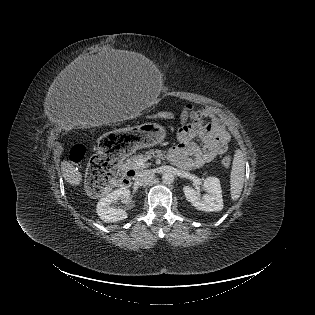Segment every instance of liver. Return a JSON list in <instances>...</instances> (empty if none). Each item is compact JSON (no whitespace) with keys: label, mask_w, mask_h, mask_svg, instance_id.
<instances>
[{"label":"liver","mask_w":315,"mask_h":315,"mask_svg":"<svg viewBox=\"0 0 315 315\" xmlns=\"http://www.w3.org/2000/svg\"><path fill=\"white\" fill-rule=\"evenodd\" d=\"M132 60V52L123 50H102L98 54L86 56L81 59L72 69L76 76L93 77L98 74L117 73L127 68L128 62ZM126 119L127 116L120 115ZM61 171L64 180L70 185H80L82 174L68 161L61 163Z\"/></svg>","instance_id":"liver-1"}]
</instances>
